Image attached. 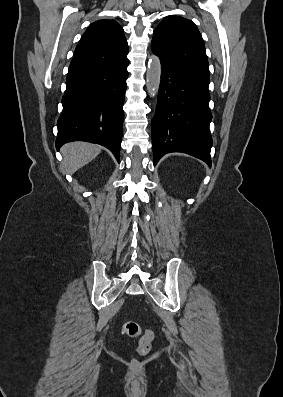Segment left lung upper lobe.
Instances as JSON below:
<instances>
[{
    "label": "left lung upper lobe",
    "instance_id": "1",
    "mask_svg": "<svg viewBox=\"0 0 283 397\" xmlns=\"http://www.w3.org/2000/svg\"><path fill=\"white\" fill-rule=\"evenodd\" d=\"M151 47L209 80L204 41L191 20L173 15L164 18L154 30Z\"/></svg>",
    "mask_w": 283,
    "mask_h": 397
}]
</instances>
